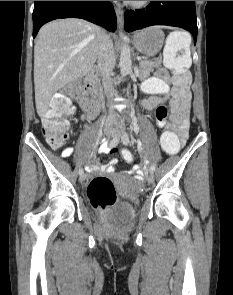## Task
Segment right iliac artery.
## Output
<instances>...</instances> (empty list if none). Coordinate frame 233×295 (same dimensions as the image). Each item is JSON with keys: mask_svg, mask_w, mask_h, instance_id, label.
Returning <instances> with one entry per match:
<instances>
[{"mask_svg": "<svg viewBox=\"0 0 233 295\" xmlns=\"http://www.w3.org/2000/svg\"><path fill=\"white\" fill-rule=\"evenodd\" d=\"M119 140L118 139H112L110 142H109V148H112V147H115L117 144H118ZM84 174V171L83 169H79V175H83Z\"/></svg>", "mask_w": 233, "mask_h": 295, "instance_id": "right-iliac-artery-1", "label": "right iliac artery"}]
</instances>
